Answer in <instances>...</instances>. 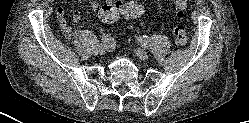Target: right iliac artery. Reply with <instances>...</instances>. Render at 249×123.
<instances>
[{
  "instance_id": "82829eb1",
  "label": "right iliac artery",
  "mask_w": 249,
  "mask_h": 123,
  "mask_svg": "<svg viewBox=\"0 0 249 123\" xmlns=\"http://www.w3.org/2000/svg\"><path fill=\"white\" fill-rule=\"evenodd\" d=\"M102 41L104 44H110L112 42V38L108 34H104L102 36Z\"/></svg>"
}]
</instances>
